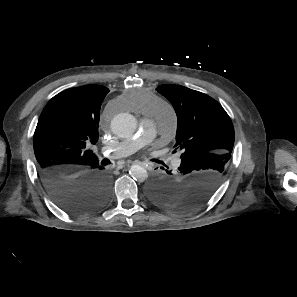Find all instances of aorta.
Returning <instances> with one entry per match:
<instances>
[{"label":"aorta","mask_w":297,"mask_h":297,"mask_svg":"<svg viewBox=\"0 0 297 297\" xmlns=\"http://www.w3.org/2000/svg\"><path fill=\"white\" fill-rule=\"evenodd\" d=\"M136 127V120L129 113H120L111 121L112 132L122 138L131 136L135 132ZM129 173L139 182H144L148 176L146 169L140 165H132Z\"/></svg>","instance_id":"obj_1"}]
</instances>
